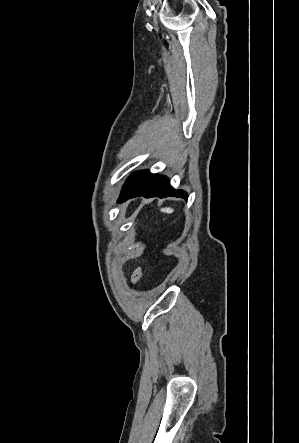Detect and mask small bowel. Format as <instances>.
Returning <instances> with one entry per match:
<instances>
[{
  "label": "small bowel",
  "mask_w": 299,
  "mask_h": 443,
  "mask_svg": "<svg viewBox=\"0 0 299 443\" xmlns=\"http://www.w3.org/2000/svg\"><path fill=\"white\" fill-rule=\"evenodd\" d=\"M144 274L143 268L142 267H137L131 274L130 280L131 283L136 285L140 282V280L142 279Z\"/></svg>",
  "instance_id": "small-bowel-1"
}]
</instances>
